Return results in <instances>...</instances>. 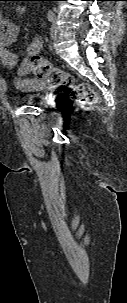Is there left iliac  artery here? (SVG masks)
<instances>
[{"label": "left iliac artery", "instance_id": "1", "mask_svg": "<svg viewBox=\"0 0 127 303\" xmlns=\"http://www.w3.org/2000/svg\"><path fill=\"white\" fill-rule=\"evenodd\" d=\"M47 18H48L49 21L54 22V20H55V13L53 11L49 10L47 12Z\"/></svg>", "mask_w": 127, "mask_h": 303}]
</instances>
